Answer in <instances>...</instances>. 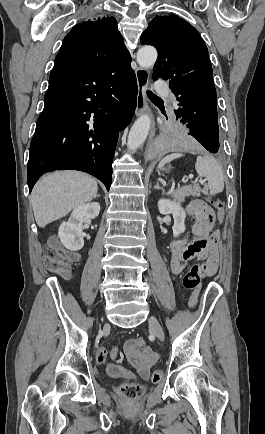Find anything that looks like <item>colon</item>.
I'll list each match as a JSON object with an SVG mask.
<instances>
[{"label": "colon", "mask_w": 265, "mask_h": 434, "mask_svg": "<svg viewBox=\"0 0 265 434\" xmlns=\"http://www.w3.org/2000/svg\"><path fill=\"white\" fill-rule=\"evenodd\" d=\"M211 205L216 210V219L220 222L225 216V204L222 198L215 197L211 201ZM44 268L54 274L61 275L63 277L69 276V268L72 263V259L68 255H62L59 252V247L56 245H47L44 249ZM202 269V263H193L189 270L183 275L184 287L193 292V287L198 286L203 278H200L199 271ZM106 348H100L97 351L96 360L98 364H105L107 360ZM163 372L161 370H155L152 374L153 381L158 382L161 380ZM143 390V384L141 382L126 383L120 386V391L126 395V400L129 403L134 402L135 397L141 395Z\"/></svg>", "instance_id": "1"}]
</instances>
